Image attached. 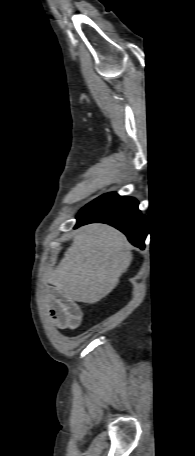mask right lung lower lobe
<instances>
[{"label": "right lung lower lobe", "instance_id": "right-lung-lower-lobe-1", "mask_svg": "<svg viewBox=\"0 0 195 456\" xmlns=\"http://www.w3.org/2000/svg\"><path fill=\"white\" fill-rule=\"evenodd\" d=\"M75 228L95 222L107 223L122 231L136 247L144 248L146 220L134 198L104 194L81 209Z\"/></svg>", "mask_w": 195, "mask_h": 456}]
</instances>
